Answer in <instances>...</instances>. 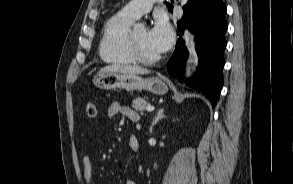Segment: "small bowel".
Returning a JSON list of instances; mask_svg holds the SVG:
<instances>
[{
	"label": "small bowel",
	"instance_id": "c3829d8e",
	"mask_svg": "<svg viewBox=\"0 0 293 184\" xmlns=\"http://www.w3.org/2000/svg\"><path fill=\"white\" fill-rule=\"evenodd\" d=\"M108 116L113 117L117 114H121L125 118L132 122H137L139 120V115L132 108L122 105L118 102L112 103L108 108ZM129 146L132 151H136L139 147L138 140L135 136L129 138ZM82 167H83V178L86 184H92L93 178V165L90 157L84 155L82 157ZM125 184H137L134 180L128 179Z\"/></svg>",
	"mask_w": 293,
	"mask_h": 184
}]
</instances>
